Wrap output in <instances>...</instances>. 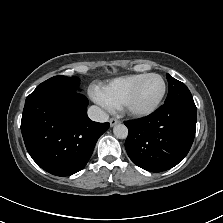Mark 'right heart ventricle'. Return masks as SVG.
Returning <instances> with one entry per match:
<instances>
[{"instance_id":"right-heart-ventricle-1","label":"right heart ventricle","mask_w":223,"mask_h":223,"mask_svg":"<svg viewBox=\"0 0 223 223\" xmlns=\"http://www.w3.org/2000/svg\"><path fill=\"white\" fill-rule=\"evenodd\" d=\"M145 75L144 73L129 74L111 80L100 88V94L106 105L111 108H119L126 95L135 84Z\"/></svg>"}]
</instances>
